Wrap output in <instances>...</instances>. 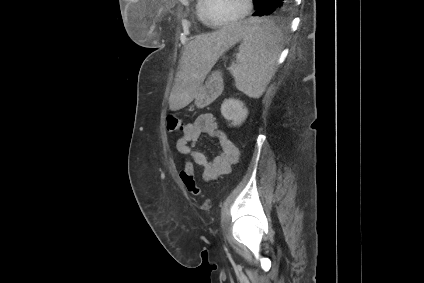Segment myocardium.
Segmentation results:
<instances>
[{
  "mask_svg": "<svg viewBox=\"0 0 424 283\" xmlns=\"http://www.w3.org/2000/svg\"><path fill=\"white\" fill-rule=\"evenodd\" d=\"M210 2H211V0H204L203 18H204L205 23L208 26L214 27V28L231 25V24H234L236 22L243 20L244 18H246L250 14V12L252 11V8H253V1L252 0H245V9L239 16H237L236 18H234L232 20L226 21V22L214 23V22L211 21V19L209 17Z\"/></svg>",
  "mask_w": 424,
  "mask_h": 283,
  "instance_id": "f54148a6",
  "label": "myocardium"
}]
</instances>
